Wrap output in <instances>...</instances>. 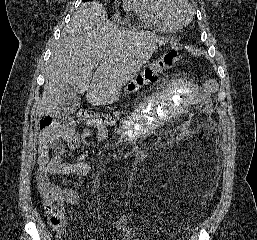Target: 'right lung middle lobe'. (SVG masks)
<instances>
[{
	"mask_svg": "<svg viewBox=\"0 0 257 240\" xmlns=\"http://www.w3.org/2000/svg\"><path fill=\"white\" fill-rule=\"evenodd\" d=\"M82 1H84V2H85V1H91V0H82Z\"/></svg>",
	"mask_w": 257,
	"mask_h": 240,
	"instance_id": "right-lung-middle-lobe-1",
	"label": "right lung middle lobe"
}]
</instances>
